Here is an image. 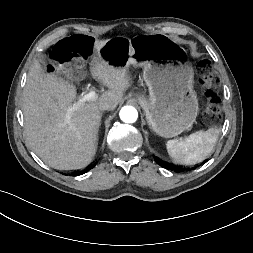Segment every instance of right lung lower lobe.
I'll use <instances>...</instances> for the list:
<instances>
[{
    "label": "right lung lower lobe",
    "mask_w": 253,
    "mask_h": 253,
    "mask_svg": "<svg viewBox=\"0 0 253 253\" xmlns=\"http://www.w3.org/2000/svg\"><path fill=\"white\" fill-rule=\"evenodd\" d=\"M80 174H83V172H81V173H79V174H74V176H76V175H80Z\"/></svg>",
    "instance_id": "obj_1"
}]
</instances>
